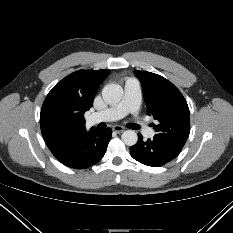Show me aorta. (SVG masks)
<instances>
[{
	"instance_id": "762f6f07",
	"label": "aorta",
	"mask_w": 233,
	"mask_h": 233,
	"mask_svg": "<svg viewBox=\"0 0 233 233\" xmlns=\"http://www.w3.org/2000/svg\"><path fill=\"white\" fill-rule=\"evenodd\" d=\"M123 96V89L118 84H107L102 90L103 100L107 104H116L118 103ZM122 141L127 146H133L137 143L138 136L134 130H126L121 135Z\"/></svg>"
}]
</instances>
